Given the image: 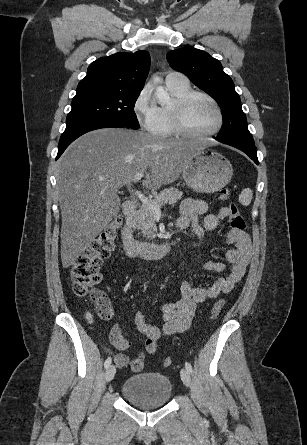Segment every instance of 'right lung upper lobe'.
<instances>
[{
  "instance_id": "cb5924a9",
  "label": "right lung upper lobe",
  "mask_w": 307,
  "mask_h": 445,
  "mask_svg": "<svg viewBox=\"0 0 307 445\" xmlns=\"http://www.w3.org/2000/svg\"><path fill=\"white\" fill-rule=\"evenodd\" d=\"M150 67L147 51L119 52L101 57L88 67L76 95L112 94L139 95Z\"/></svg>"
}]
</instances>
